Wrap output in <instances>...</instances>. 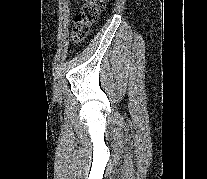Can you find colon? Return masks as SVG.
<instances>
[{
    "label": "colon",
    "instance_id": "5ec220e1",
    "mask_svg": "<svg viewBox=\"0 0 207 179\" xmlns=\"http://www.w3.org/2000/svg\"><path fill=\"white\" fill-rule=\"evenodd\" d=\"M107 0H85L75 15L72 26V38L76 43L83 42L90 27L98 21L105 9Z\"/></svg>",
    "mask_w": 207,
    "mask_h": 179
}]
</instances>
